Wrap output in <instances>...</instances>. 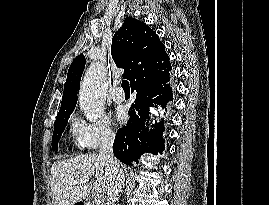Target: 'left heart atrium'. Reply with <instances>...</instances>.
<instances>
[{
    "mask_svg": "<svg viewBox=\"0 0 269 205\" xmlns=\"http://www.w3.org/2000/svg\"><path fill=\"white\" fill-rule=\"evenodd\" d=\"M116 117L118 119V121H123L125 119V113L123 110L121 109H118L117 112H116Z\"/></svg>",
    "mask_w": 269,
    "mask_h": 205,
    "instance_id": "obj_1",
    "label": "left heart atrium"
}]
</instances>
